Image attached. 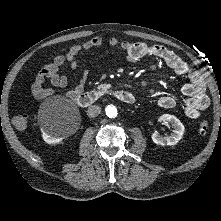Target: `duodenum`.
<instances>
[{
	"mask_svg": "<svg viewBox=\"0 0 221 221\" xmlns=\"http://www.w3.org/2000/svg\"><path fill=\"white\" fill-rule=\"evenodd\" d=\"M106 93H110L117 100L124 104H133L135 102L134 95L125 90H116V91H105V90H93L89 92H83L76 96L75 102L78 106L82 108H87L94 104L99 98H101Z\"/></svg>",
	"mask_w": 221,
	"mask_h": 221,
	"instance_id": "1",
	"label": "duodenum"
}]
</instances>
